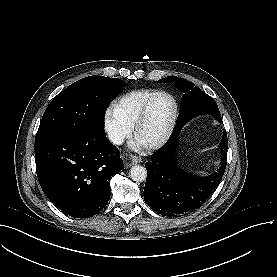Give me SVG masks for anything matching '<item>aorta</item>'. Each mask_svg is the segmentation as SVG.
<instances>
[{"instance_id":"obj_1","label":"aorta","mask_w":277,"mask_h":277,"mask_svg":"<svg viewBox=\"0 0 277 277\" xmlns=\"http://www.w3.org/2000/svg\"><path fill=\"white\" fill-rule=\"evenodd\" d=\"M130 177L133 181L143 182L147 178V170L144 166L135 165L130 169Z\"/></svg>"}]
</instances>
